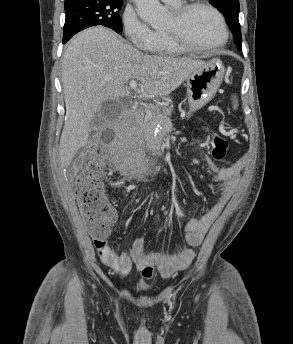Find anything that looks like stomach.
Wrapping results in <instances>:
<instances>
[{"label": "stomach", "instance_id": "1", "mask_svg": "<svg viewBox=\"0 0 293 344\" xmlns=\"http://www.w3.org/2000/svg\"><path fill=\"white\" fill-rule=\"evenodd\" d=\"M224 72L221 61L212 59L189 75L186 79L189 113L211 101L222 83Z\"/></svg>", "mask_w": 293, "mask_h": 344}]
</instances>
